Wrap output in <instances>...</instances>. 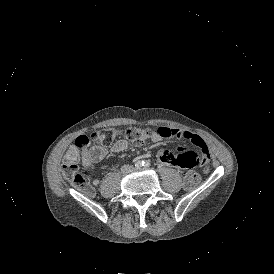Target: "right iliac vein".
Masks as SVG:
<instances>
[{
	"label": "right iliac vein",
	"mask_w": 274,
	"mask_h": 274,
	"mask_svg": "<svg viewBox=\"0 0 274 274\" xmlns=\"http://www.w3.org/2000/svg\"><path fill=\"white\" fill-rule=\"evenodd\" d=\"M130 170L129 167L125 166L124 168H122V173H127Z\"/></svg>",
	"instance_id": "1"
}]
</instances>
